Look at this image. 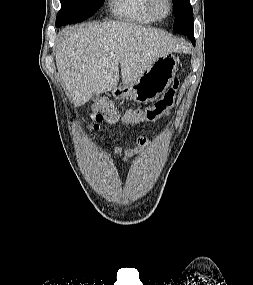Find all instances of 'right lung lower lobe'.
Instances as JSON below:
<instances>
[{
    "label": "right lung lower lobe",
    "mask_w": 253,
    "mask_h": 285,
    "mask_svg": "<svg viewBox=\"0 0 253 285\" xmlns=\"http://www.w3.org/2000/svg\"><path fill=\"white\" fill-rule=\"evenodd\" d=\"M56 26L59 27L60 25L56 23Z\"/></svg>",
    "instance_id": "obj_1"
}]
</instances>
